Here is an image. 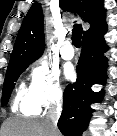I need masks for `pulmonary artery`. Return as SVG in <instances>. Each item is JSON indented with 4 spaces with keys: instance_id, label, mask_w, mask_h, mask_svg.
I'll return each instance as SVG.
<instances>
[{
    "instance_id": "obj_1",
    "label": "pulmonary artery",
    "mask_w": 117,
    "mask_h": 136,
    "mask_svg": "<svg viewBox=\"0 0 117 136\" xmlns=\"http://www.w3.org/2000/svg\"><path fill=\"white\" fill-rule=\"evenodd\" d=\"M60 53H61L62 58L66 59V60H70L74 57L75 51H74L73 46L69 40H66L63 43Z\"/></svg>"
}]
</instances>
